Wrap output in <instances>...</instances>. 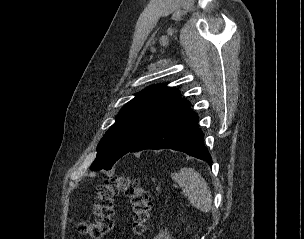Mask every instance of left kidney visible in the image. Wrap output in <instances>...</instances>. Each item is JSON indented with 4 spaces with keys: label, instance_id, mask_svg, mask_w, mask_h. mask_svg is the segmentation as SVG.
I'll return each instance as SVG.
<instances>
[{
    "label": "left kidney",
    "instance_id": "left-kidney-1",
    "mask_svg": "<svg viewBox=\"0 0 304 239\" xmlns=\"http://www.w3.org/2000/svg\"><path fill=\"white\" fill-rule=\"evenodd\" d=\"M154 239H172V238L170 237L169 232L165 230L160 232Z\"/></svg>",
    "mask_w": 304,
    "mask_h": 239
}]
</instances>
